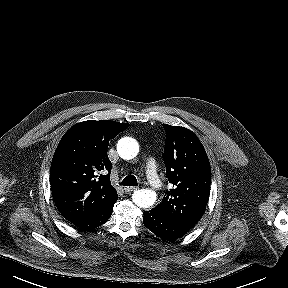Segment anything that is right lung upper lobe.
<instances>
[{
    "instance_id": "right-lung-upper-lobe-1",
    "label": "right lung upper lobe",
    "mask_w": 288,
    "mask_h": 288,
    "mask_svg": "<svg viewBox=\"0 0 288 288\" xmlns=\"http://www.w3.org/2000/svg\"><path fill=\"white\" fill-rule=\"evenodd\" d=\"M129 127L110 120H88L62 137L53 156L50 180L61 215L76 222L100 214L118 195L110 182L109 140Z\"/></svg>"
}]
</instances>
